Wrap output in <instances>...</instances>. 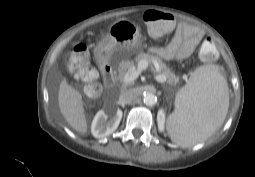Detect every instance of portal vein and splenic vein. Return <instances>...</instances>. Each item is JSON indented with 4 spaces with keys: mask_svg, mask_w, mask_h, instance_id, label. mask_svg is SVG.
I'll use <instances>...</instances> for the list:
<instances>
[{
    "mask_svg": "<svg viewBox=\"0 0 255 177\" xmlns=\"http://www.w3.org/2000/svg\"><path fill=\"white\" fill-rule=\"evenodd\" d=\"M148 67V62L145 61V60H141L138 62V65L137 67H133L131 68L124 76V83L125 84H129V83H132L134 82L138 77L139 75L141 74V72L143 70H146ZM155 79L158 81V82H165L166 81V78L164 76H160V75H156L155 76Z\"/></svg>",
    "mask_w": 255,
    "mask_h": 177,
    "instance_id": "18ae733b",
    "label": "portal vein and splenic vein"
}]
</instances>
